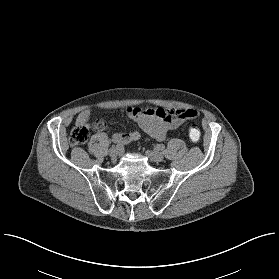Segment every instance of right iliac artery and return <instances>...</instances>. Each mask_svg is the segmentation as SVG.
Wrapping results in <instances>:
<instances>
[{
    "label": "right iliac artery",
    "instance_id": "right-iliac-artery-1",
    "mask_svg": "<svg viewBox=\"0 0 279 279\" xmlns=\"http://www.w3.org/2000/svg\"><path fill=\"white\" fill-rule=\"evenodd\" d=\"M115 144L113 145L115 148L120 149V145L116 142H114Z\"/></svg>",
    "mask_w": 279,
    "mask_h": 279
}]
</instances>
